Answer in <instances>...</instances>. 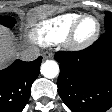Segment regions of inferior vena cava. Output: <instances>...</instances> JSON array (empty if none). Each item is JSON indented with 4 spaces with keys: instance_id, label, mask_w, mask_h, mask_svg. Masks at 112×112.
<instances>
[{
    "instance_id": "602c4592",
    "label": "inferior vena cava",
    "mask_w": 112,
    "mask_h": 112,
    "mask_svg": "<svg viewBox=\"0 0 112 112\" xmlns=\"http://www.w3.org/2000/svg\"><path fill=\"white\" fill-rule=\"evenodd\" d=\"M40 53L36 47H29L20 53V58L24 61H33L39 57Z\"/></svg>"
}]
</instances>
